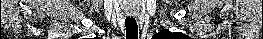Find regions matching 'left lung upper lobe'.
<instances>
[{"mask_svg":"<svg viewBox=\"0 0 263 39\" xmlns=\"http://www.w3.org/2000/svg\"><path fill=\"white\" fill-rule=\"evenodd\" d=\"M155 39H186L187 37L181 33H172L169 30H162L153 36Z\"/></svg>","mask_w":263,"mask_h":39,"instance_id":"5c2ea615","label":"left lung upper lobe"}]
</instances>
